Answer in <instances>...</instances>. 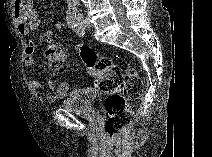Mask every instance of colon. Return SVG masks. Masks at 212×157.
<instances>
[{
    "label": "colon",
    "instance_id": "obj_1",
    "mask_svg": "<svg viewBox=\"0 0 212 157\" xmlns=\"http://www.w3.org/2000/svg\"><path fill=\"white\" fill-rule=\"evenodd\" d=\"M77 51L87 74L109 95L105 132L109 137L117 138L132 122L133 113L128 101L139 98L142 81L136 70L126 63L118 64L110 57H100L87 45L78 46ZM45 58L50 69L60 71L66 59V49L59 44H50Z\"/></svg>",
    "mask_w": 212,
    "mask_h": 157
}]
</instances>
